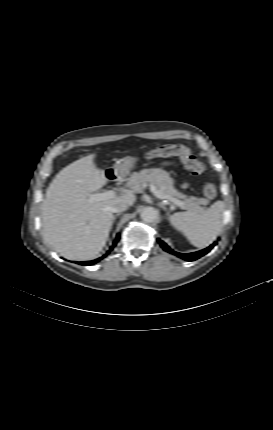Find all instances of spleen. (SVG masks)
Listing matches in <instances>:
<instances>
[{"mask_svg": "<svg viewBox=\"0 0 273 430\" xmlns=\"http://www.w3.org/2000/svg\"><path fill=\"white\" fill-rule=\"evenodd\" d=\"M224 202L216 201L202 213L184 211L169 217L171 225L198 248L207 247L219 235L223 226Z\"/></svg>", "mask_w": 273, "mask_h": 430, "instance_id": "1", "label": "spleen"}]
</instances>
